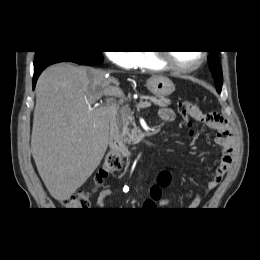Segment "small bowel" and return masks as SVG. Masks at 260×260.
I'll use <instances>...</instances> for the list:
<instances>
[{
  "label": "small bowel",
  "instance_id": "1",
  "mask_svg": "<svg viewBox=\"0 0 260 260\" xmlns=\"http://www.w3.org/2000/svg\"><path fill=\"white\" fill-rule=\"evenodd\" d=\"M159 116L163 121H173L175 119V113L173 110L169 108H162L159 111ZM193 119L207 125L208 127L216 130V143L222 148V157L221 160L215 170V173L212 179L208 182L205 192L208 193L214 190L222 181L223 177L230 169L233 159V151H234V131L232 125L226 121L221 115L210 112V113H202L200 112L198 116ZM110 195V190L105 189L101 191L99 197L97 199V206L102 207L107 197ZM202 198L196 193L194 199L189 204L188 208L190 210L197 209L201 204ZM162 208L169 207L168 200H161L159 202ZM146 207L152 208L155 206L154 201L149 200L146 202Z\"/></svg>",
  "mask_w": 260,
  "mask_h": 260
}]
</instances>
